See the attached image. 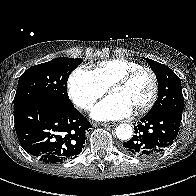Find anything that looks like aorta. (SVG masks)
I'll return each instance as SVG.
<instances>
[{
	"label": "aorta",
	"instance_id": "aorta-1",
	"mask_svg": "<svg viewBox=\"0 0 196 196\" xmlns=\"http://www.w3.org/2000/svg\"><path fill=\"white\" fill-rule=\"evenodd\" d=\"M116 135L121 140H128L132 136V127L129 124H120L116 127Z\"/></svg>",
	"mask_w": 196,
	"mask_h": 196
}]
</instances>
